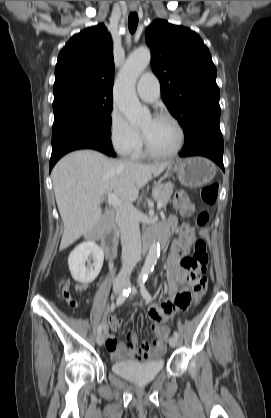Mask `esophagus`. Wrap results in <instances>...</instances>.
<instances>
[{
	"instance_id": "esophagus-1",
	"label": "esophagus",
	"mask_w": 271,
	"mask_h": 418,
	"mask_svg": "<svg viewBox=\"0 0 271 418\" xmlns=\"http://www.w3.org/2000/svg\"><path fill=\"white\" fill-rule=\"evenodd\" d=\"M131 10H132V11H135V10H136V8H132Z\"/></svg>"
}]
</instances>
